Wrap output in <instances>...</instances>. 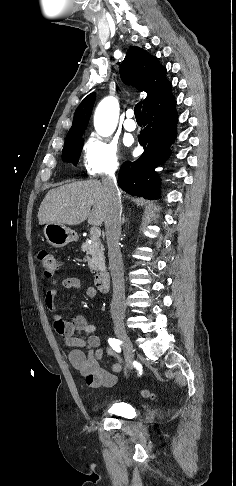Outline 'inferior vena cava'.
<instances>
[{
	"instance_id": "obj_1",
	"label": "inferior vena cava",
	"mask_w": 236,
	"mask_h": 486,
	"mask_svg": "<svg viewBox=\"0 0 236 486\" xmlns=\"http://www.w3.org/2000/svg\"><path fill=\"white\" fill-rule=\"evenodd\" d=\"M111 172L102 179V184L107 191L108 209L105 217V230L108 247L109 269L113 283V298L111 303L112 315H119L125 310V287L122 254L119 246L121 234V193L117 186L115 171Z\"/></svg>"
}]
</instances>
